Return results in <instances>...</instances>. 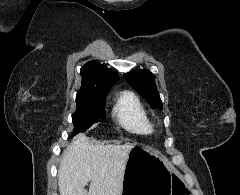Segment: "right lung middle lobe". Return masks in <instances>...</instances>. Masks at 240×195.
Returning <instances> with one entry per match:
<instances>
[{"instance_id":"right-lung-middle-lobe-1","label":"right lung middle lobe","mask_w":240,"mask_h":195,"mask_svg":"<svg viewBox=\"0 0 240 195\" xmlns=\"http://www.w3.org/2000/svg\"><path fill=\"white\" fill-rule=\"evenodd\" d=\"M77 110L73 115L74 132H85L92 124L103 121L106 118L105 99L76 100Z\"/></svg>"}]
</instances>
